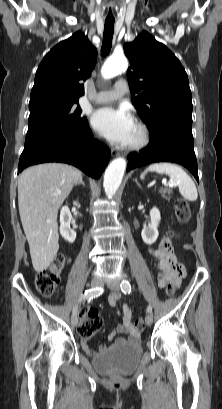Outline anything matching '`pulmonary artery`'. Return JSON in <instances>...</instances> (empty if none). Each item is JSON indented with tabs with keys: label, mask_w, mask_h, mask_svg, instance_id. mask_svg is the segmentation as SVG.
Wrapping results in <instances>:
<instances>
[{
	"label": "pulmonary artery",
	"mask_w": 222,
	"mask_h": 409,
	"mask_svg": "<svg viewBox=\"0 0 222 409\" xmlns=\"http://www.w3.org/2000/svg\"><path fill=\"white\" fill-rule=\"evenodd\" d=\"M127 92H128V87L125 81L119 80L114 84L113 88L106 90V91H102L99 94H97L95 101L97 103H109L111 101L120 99Z\"/></svg>",
	"instance_id": "pulmonary-artery-1"
}]
</instances>
